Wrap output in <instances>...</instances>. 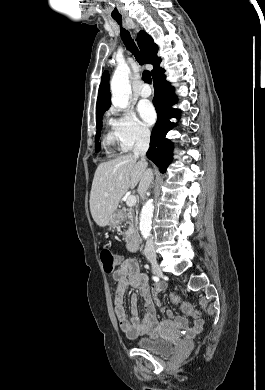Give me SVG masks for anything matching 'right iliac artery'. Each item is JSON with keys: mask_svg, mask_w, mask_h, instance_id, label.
<instances>
[{"mask_svg": "<svg viewBox=\"0 0 265 390\" xmlns=\"http://www.w3.org/2000/svg\"><path fill=\"white\" fill-rule=\"evenodd\" d=\"M152 279H153L154 281H156V282H158V281H159V278H158V277H156V276H153V277H152Z\"/></svg>", "mask_w": 265, "mask_h": 390, "instance_id": "right-iliac-artery-1", "label": "right iliac artery"}]
</instances>
